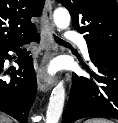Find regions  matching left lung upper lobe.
<instances>
[{
	"label": "left lung upper lobe",
	"mask_w": 118,
	"mask_h": 123,
	"mask_svg": "<svg viewBox=\"0 0 118 123\" xmlns=\"http://www.w3.org/2000/svg\"><path fill=\"white\" fill-rule=\"evenodd\" d=\"M71 13L73 27L84 35L88 49L118 56L116 0H57Z\"/></svg>",
	"instance_id": "1"
}]
</instances>
